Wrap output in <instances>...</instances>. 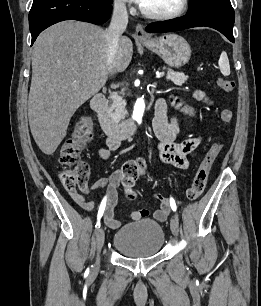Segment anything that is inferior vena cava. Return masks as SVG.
<instances>
[{
	"instance_id": "inferior-vena-cava-1",
	"label": "inferior vena cava",
	"mask_w": 261,
	"mask_h": 306,
	"mask_svg": "<svg viewBox=\"0 0 261 306\" xmlns=\"http://www.w3.org/2000/svg\"><path fill=\"white\" fill-rule=\"evenodd\" d=\"M128 24V14L125 4L116 0L114 3L113 15L108 29L107 36V65L109 73L113 74L114 59L118 52L119 40Z\"/></svg>"
}]
</instances>
